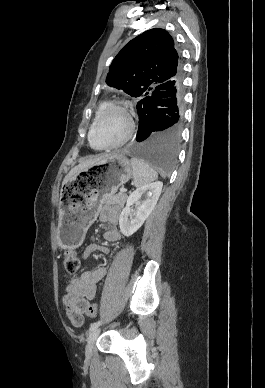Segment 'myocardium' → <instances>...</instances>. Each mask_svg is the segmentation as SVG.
Returning a JSON list of instances; mask_svg holds the SVG:
<instances>
[{
	"label": "myocardium",
	"mask_w": 265,
	"mask_h": 388,
	"mask_svg": "<svg viewBox=\"0 0 265 388\" xmlns=\"http://www.w3.org/2000/svg\"><path fill=\"white\" fill-rule=\"evenodd\" d=\"M112 110L118 111V112L122 113L126 117V120H127L126 132L122 136V138L117 143H115V144H112V145H99L96 142V140H95V129H96V126L98 125V123L102 119V117L107 112L112 111ZM133 130H134V121H133V118H132L130 110L127 107L122 106V105L109 104L97 115L96 119L94 120V122H93V124L91 126V129H90V132H89V140H90L91 144L93 146L97 147V148H101V149H115V148H119V147L123 146L124 144H126L129 141V139L131 138Z\"/></svg>",
	"instance_id": "obj_1"
}]
</instances>
